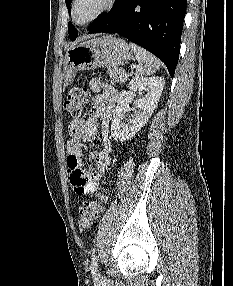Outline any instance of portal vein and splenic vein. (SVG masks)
<instances>
[{
	"label": "portal vein and splenic vein",
	"mask_w": 233,
	"mask_h": 286,
	"mask_svg": "<svg viewBox=\"0 0 233 286\" xmlns=\"http://www.w3.org/2000/svg\"><path fill=\"white\" fill-rule=\"evenodd\" d=\"M124 76H125V77H127V74H126V73H124Z\"/></svg>",
	"instance_id": "portal-vein-and-splenic-vein-1"
}]
</instances>
